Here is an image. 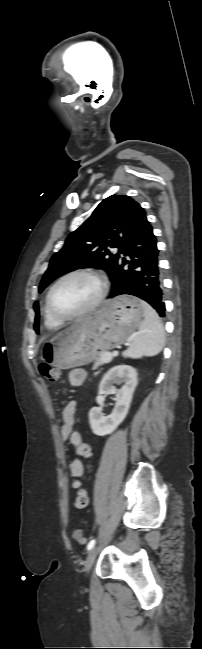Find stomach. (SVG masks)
Masks as SVG:
<instances>
[{
	"mask_svg": "<svg viewBox=\"0 0 202 649\" xmlns=\"http://www.w3.org/2000/svg\"><path fill=\"white\" fill-rule=\"evenodd\" d=\"M142 301L120 296L106 301L98 313L78 320L46 341L41 360L58 369H68L94 361L100 351L125 342L142 323Z\"/></svg>",
	"mask_w": 202,
	"mask_h": 649,
	"instance_id": "0dacf381",
	"label": "stomach"
}]
</instances>
